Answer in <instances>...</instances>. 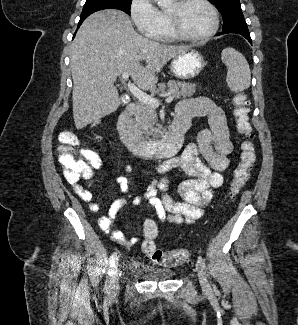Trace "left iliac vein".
I'll return each instance as SVG.
<instances>
[{"mask_svg":"<svg viewBox=\"0 0 298 325\" xmlns=\"http://www.w3.org/2000/svg\"><path fill=\"white\" fill-rule=\"evenodd\" d=\"M196 271L198 273V279H199L202 289L207 292L210 291L211 287L208 282V279H207L204 271L199 267V265H196Z\"/></svg>","mask_w":298,"mask_h":325,"instance_id":"4c4485c4","label":"left iliac vein"}]
</instances>
